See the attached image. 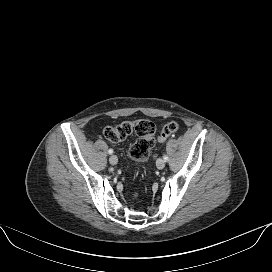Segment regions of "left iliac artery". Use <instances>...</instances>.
<instances>
[{
    "label": "left iliac artery",
    "mask_w": 272,
    "mask_h": 272,
    "mask_svg": "<svg viewBox=\"0 0 272 272\" xmlns=\"http://www.w3.org/2000/svg\"><path fill=\"white\" fill-rule=\"evenodd\" d=\"M163 159H164L165 162L168 161V156L164 155Z\"/></svg>",
    "instance_id": "1"
}]
</instances>
